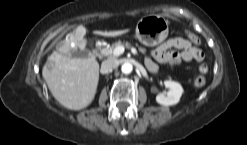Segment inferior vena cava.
<instances>
[{
    "label": "inferior vena cava",
    "instance_id": "obj_1",
    "mask_svg": "<svg viewBox=\"0 0 247 145\" xmlns=\"http://www.w3.org/2000/svg\"><path fill=\"white\" fill-rule=\"evenodd\" d=\"M119 65L118 61L116 59H107L104 60L101 64V71L102 73L106 74L113 69L117 68Z\"/></svg>",
    "mask_w": 247,
    "mask_h": 145
}]
</instances>
